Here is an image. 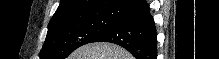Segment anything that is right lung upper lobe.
Returning a JSON list of instances; mask_svg holds the SVG:
<instances>
[{
    "mask_svg": "<svg viewBox=\"0 0 219 59\" xmlns=\"http://www.w3.org/2000/svg\"><path fill=\"white\" fill-rule=\"evenodd\" d=\"M124 0H61L52 19L92 10H111Z\"/></svg>",
    "mask_w": 219,
    "mask_h": 59,
    "instance_id": "1",
    "label": "right lung upper lobe"
}]
</instances>
